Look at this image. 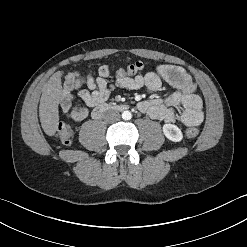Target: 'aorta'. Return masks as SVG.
Masks as SVG:
<instances>
[{"mask_svg": "<svg viewBox=\"0 0 247 247\" xmlns=\"http://www.w3.org/2000/svg\"><path fill=\"white\" fill-rule=\"evenodd\" d=\"M132 118L131 112L130 111H124L122 113V119L123 120H130Z\"/></svg>", "mask_w": 247, "mask_h": 247, "instance_id": "762f6f07", "label": "aorta"}]
</instances>
